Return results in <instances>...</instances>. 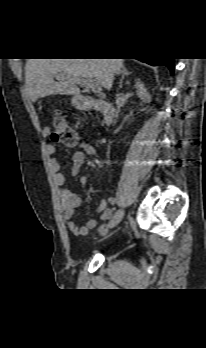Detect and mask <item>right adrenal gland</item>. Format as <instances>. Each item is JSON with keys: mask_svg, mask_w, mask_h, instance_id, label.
Instances as JSON below:
<instances>
[{"mask_svg": "<svg viewBox=\"0 0 206 348\" xmlns=\"http://www.w3.org/2000/svg\"><path fill=\"white\" fill-rule=\"evenodd\" d=\"M122 77H121V80H120V83H119V88H122V84H123V80H124V77L125 76H129L131 74V72H129L126 67H122Z\"/></svg>", "mask_w": 206, "mask_h": 348, "instance_id": "1", "label": "right adrenal gland"}]
</instances>
